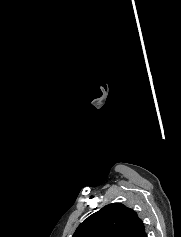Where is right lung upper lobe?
<instances>
[{
	"mask_svg": "<svg viewBox=\"0 0 181 237\" xmlns=\"http://www.w3.org/2000/svg\"><path fill=\"white\" fill-rule=\"evenodd\" d=\"M72 237H147V234L134 210L112 203L89 216Z\"/></svg>",
	"mask_w": 181,
	"mask_h": 237,
	"instance_id": "1",
	"label": "right lung upper lobe"
}]
</instances>
